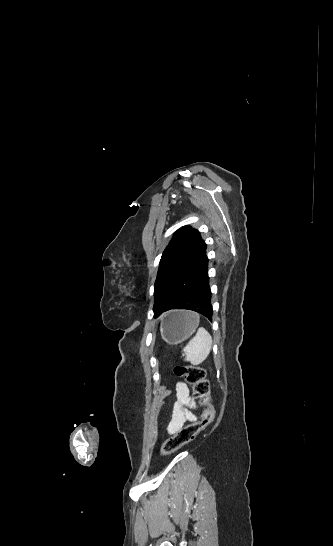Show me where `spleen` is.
<instances>
[{
  "label": "spleen",
  "instance_id": "spleen-1",
  "mask_svg": "<svg viewBox=\"0 0 333 546\" xmlns=\"http://www.w3.org/2000/svg\"><path fill=\"white\" fill-rule=\"evenodd\" d=\"M196 315L199 318V315ZM211 349L212 337L205 328L201 327L183 349L186 355L185 361L192 365H200L206 360Z\"/></svg>",
  "mask_w": 333,
  "mask_h": 546
}]
</instances>
